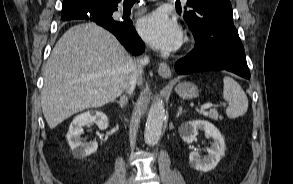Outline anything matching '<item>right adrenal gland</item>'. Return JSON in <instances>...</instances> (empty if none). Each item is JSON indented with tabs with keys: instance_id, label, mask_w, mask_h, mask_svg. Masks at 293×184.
Returning <instances> with one entry per match:
<instances>
[{
	"instance_id": "2a0ac1e0",
	"label": "right adrenal gland",
	"mask_w": 293,
	"mask_h": 184,
	"mask_svg": "<svg viewBox=\"0 0 293 184\" xmlns=\"http://www.w3.org/2000/svg\"><path fill=\"white\" fill-rule=\"evenodd\" d=\"M116 102L119 104L120 108L123 109L128 103V97L126 95H122L119 101Z\"/></svg>"
}]
</instances>
